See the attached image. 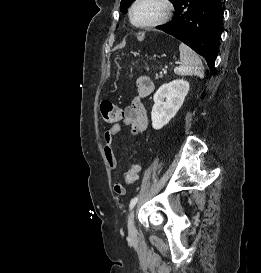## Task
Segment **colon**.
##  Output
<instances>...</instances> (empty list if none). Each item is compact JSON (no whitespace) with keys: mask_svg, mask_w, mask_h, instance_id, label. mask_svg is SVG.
I'll return each instance as SVG.
<instances>
[{"mask_svg":"<svg viewBox=\"0 0 261 273\" xmlns=\"http://www.w3.org/2000/svg\"><path fill=\"white\" fill-rule=\"evenodd\" d=\"M102 116L107 124L114 125L118 123L121 118V110L110 101H103L100 106ZM140 173V166L132 164L125 172L123 182L116 183V189L122 193L125 191V185L131 184L138 179Z\"/></svg>","mask_w":261,"mask_h":273,"instance_id":"5ec220e1","label":"colon"}]
</instances>
